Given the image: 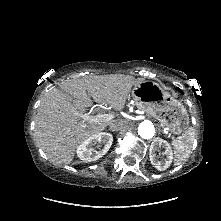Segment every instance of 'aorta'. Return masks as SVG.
I'll return each instance as SVG.
<instances>
[{
  "label": "aorta",
  "instance_id": "obj_1",
  "mask_svg": "<svg viewBox=\"0 0 221 221\" xmlns=\"http://www.w3.org/2000/svg\"><path fill=\"white\" fill-rule=\"evenodd\" d=\"M155 128L152 122L150 121H143L138 127V134L143 139H151L154 136Z\"/></svg>",
  "mask_w": 221,
  "mask_h": 221
}]
</instances>
